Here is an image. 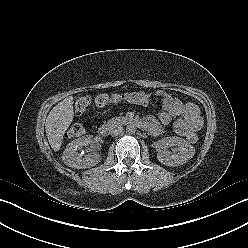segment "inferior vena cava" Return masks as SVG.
<instances>
[{
    "label": "inferior vena cava",
    "instance_id": "obj_1",
    "mask_svg": "<svg viewBox=\"0 0 248 248\" xmlns=\"http://www.w3.org/2000/svg\"><path fill=\"white\" fill-rule=\"evenodd\" d=\"M122 131H123V127H121V126L115 127L111 130V135L117 136V135L121 134Z\"/></svg>",
    "mask_w": 248,
    "mask_h": 248
}]
</instances>
